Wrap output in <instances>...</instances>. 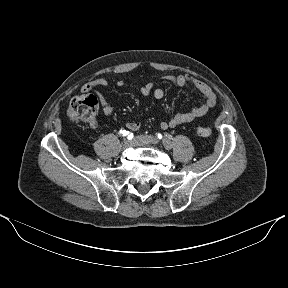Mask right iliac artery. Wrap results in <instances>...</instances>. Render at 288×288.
Masks as SVG:
<instances>
[{
  "mask_svg": "<svg viewBox=\"0 0 288 288\" xmlns=\"http://www.w3.org/2000/svg\"><path fill=\"white\" fill-rule=\"evenodd\" d=\"M119 134L122 136H127L128 138V136L131 135L132 133H130L129 131H125V130H120Z\"/></svg>",
  "mask_w": 288,
  "mask_h": 288,
  "instance_id": "1",
  "label": "right iliac artery"
}]
</instances>
